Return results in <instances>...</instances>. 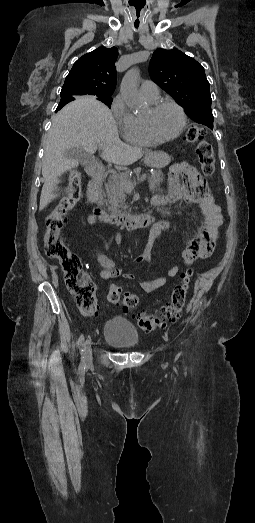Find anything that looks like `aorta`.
Instances as JSON below:
<instances>
[{"mask_svg": "<svg viewBox=\"0 0 255 523\" xmlns=\"http://www.w3.org/2000/svg\"><path fill=\"white\" fill-rule=\"evenodd\" d=\"M139 71L130 69L122 79L120 92L125 103L135 111L142 110V101L138 92Z\"/></svg>", "mask_w": 255, "mask_h": 523, "instance_id": "obj_1", "label": "aorta"}]
</instances>
